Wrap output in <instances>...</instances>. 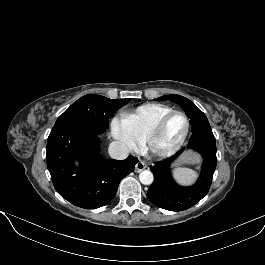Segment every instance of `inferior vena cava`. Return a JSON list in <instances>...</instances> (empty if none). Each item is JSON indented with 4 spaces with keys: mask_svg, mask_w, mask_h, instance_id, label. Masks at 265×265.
I'll list each match as a JSON object with an SVG mask.
<instances>
[{
    "mask_svg": "<svg viewBox=\"0 0 265 265\" xmlns=\"http://www.w3.org/2000/svg\"><path fill=\"white\" fill-rule=\"evenodd\" d=\"M108 153L111 158L116 160H124L129 156L130 149L121 141H113L108 148Z\"/></svg>",
    "mask_w": 265,
    "mask_h": 265,
    "instance_id": "602c4592",
    "label": "inferior vena cava"
}]
</instances>
